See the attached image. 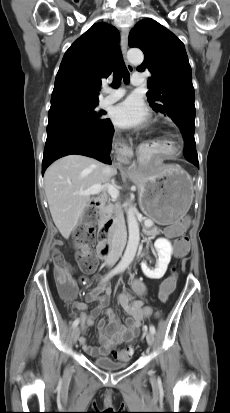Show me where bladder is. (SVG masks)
I'll return each instance as SVG.
<instances>
[{
  "label": "bladder",
  "instance_id": "obj_1",
  "mask_svg": "<svg viewBox=\"0 0 230 413\" xmlns=\"http://www.w3.org/2000/svg\"><path fill=\"white\" fill-rule=\"evenodd\" d=\"M95 366L107 371L120 370L127 367L128 363H118L109 357H97L93 360Z\"/></svg>",
  "mask_w": 230,
  "mask_h": 413
}]
</instances>
